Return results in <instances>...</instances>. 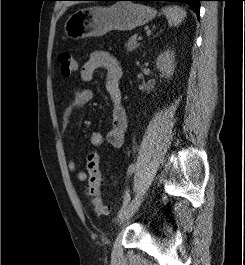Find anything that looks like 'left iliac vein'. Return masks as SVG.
Segmentation results:
<instances>
[{"label": "left iliac vein", "mask_w": 245, "mask_h": 265, "mask_svg": "<svg viewBox=\"0 0 245 265\" xmlns=\"http://www.w3.org/2000/svg\"><path fill=\"white\" fill-rule=\"evenodd\" d=\"M144 193L145 192H139L130 203L126 212L121 217H119L118 223L120 225H124L133 216V214L136 212V210L139 208L140 204L143 201L145 195Z\"/></svg>", "instance_id": "1"}]
</instances>
